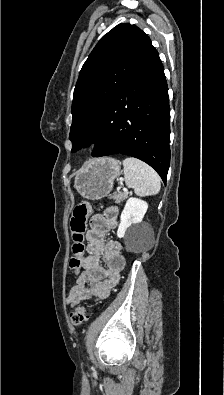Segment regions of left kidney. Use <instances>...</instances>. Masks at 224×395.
Masks as SVG:
<instances>
[{"instance_id": "left-kidney-1", "label": "left kidney", "mask_w": 224, "mask_h": 395, "mask_svg": "<svg viewBox=\"0 0 224 395\" xmlns=\"http://www.w3.org/2000/svg\"><path fill=\"white\" fill-rule=\"evenodd\" d=\"M148 209V204L136 197L127 200L125 207L120 216V224L117 230L119 238L124 237L127 229L139 225Z\"/></svg>"}]
</instances>
